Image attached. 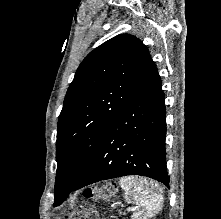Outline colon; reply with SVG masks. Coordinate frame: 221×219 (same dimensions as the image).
<instances>
[{
  "label": "colon",
  "instance_id": "5ec220e1",
  "mask_svg": "<svg viewBox=\"0 0 221 219\" xmlns=\"http://www.w3.org/2000/svg\"><path fill=\"white\" fill-rule=\"evenodd\" d=\"M112 187H105L104 188V192L106 194L112 192ZM97 194L96 191H92V190H87L84 192V195L86 197H90V196H95ZM68 219H100L99 216L91 209H88V208H82V207H79V208H76L74 209Z\"/></svg>",
  "mask_w": 221,
  "mask_h": 219
}]
</instances>
